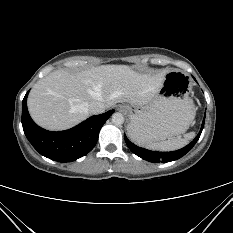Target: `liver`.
I'll use <instances>...</instances> for the list:
<instances>
[{
  "mask_svg": "<svg viewBox=\"0 0 233 233\" xmlns=\"http://www.w3.org/2000/svg\"><path fill=\"white\" fill-rule=\"evenodd\" d=\"M167 73H141L126 65H102L79 73L56 70L33 86L28 111L43 128L69 129L88 118L92 102H101L106 108L123 102L146 105Z\"/></svg>",
  "mask_w": 233,
  "mask_h": 233,
  "instance_id": "liver-1",
  "label": "liver"
}]
</instances>
